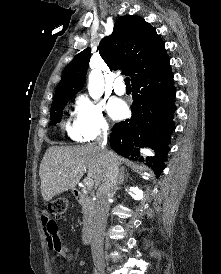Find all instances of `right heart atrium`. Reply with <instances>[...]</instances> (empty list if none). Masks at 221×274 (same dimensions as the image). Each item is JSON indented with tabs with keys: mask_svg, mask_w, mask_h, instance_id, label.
I'll return each instance as SVG.
<instances>
[{
	"mask_svg": "<svg viewBox=\"0 0 221 274\" xmlns=\"http://www.w3.org/2000/svg\"><path fill=\"white\" fill-rule=\"evenodd\" d=\"M108 122L104 115V107L86 96L77 100V112L71 126V136L74 140L86 142L107 133Z\"/></svg>",
	"mask_w": 221,
	"mask_h": 274,
	"instance_id": "1",
	"label": "right heart atrium"
}]
</instances>
